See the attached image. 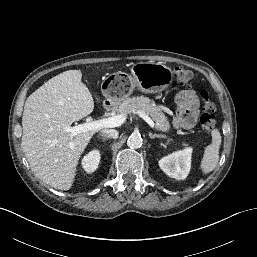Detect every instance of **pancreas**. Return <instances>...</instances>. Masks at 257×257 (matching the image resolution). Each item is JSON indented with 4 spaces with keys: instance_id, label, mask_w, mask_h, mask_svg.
<instances>
[{
    "instance_id": "pancreas-1",
    "label": "pancreas",
    "mask_w": 257,
    "mask_h": 257,
    "mask_svg": "<svg viewBox=\"0 0 257 257\" xmlns=\"http://www.w3.org/2000/svg\"><path fill=\"white\" fill-rule=\"evenodd\" d=\"M117 111L121 114H129L133 111H142L156 122V128L162 132L170 130V123L160 107L150 98L140 96L125 99Z\"/></svg>"
}]
</instances>
